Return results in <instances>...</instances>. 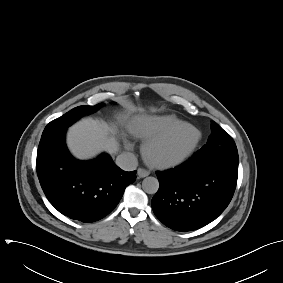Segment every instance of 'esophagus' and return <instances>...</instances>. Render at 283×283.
Segmentation results:
<instances>
[{"label": "esophagus", "mask_w": 283, "mask_h": 283, "mask_svg": "<svg viewBox=\"0 0 283 283\" xmlns=\"http://www.w3.org/2000/svg\"><path fill=\"white\" fill-rule=\"evenodd\" d=\"M150 174V171L143 169V168H139L137 170V176L138 178H144L146 176H148Z\"/></svg>", "instance_id": "esophagus-1"}]
</instances>
